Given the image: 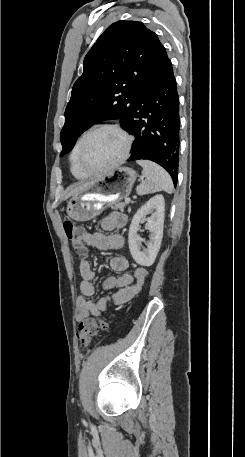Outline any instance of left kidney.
<instances>
[{"label":"left kidney","instance_id":"obj_1","mask_svg":"<svg viewBox=\"0 0 245 457\" xmlns=\"http://www.w3.org/2000/svg\"><path fill=\"white\" fill-rule=\"evenodd\" d=\"M164 208L163 194H155L143 206H140L131 220L128 233L129 249L135 263H138L141 267H151L159 253L163 237ZM146 214H151V216L146 218ZM142 220H147V229L151 231L148 243H145V239H141L137 235ZM141 243H145L147 249H142L141 251Z\"/></svg>","mask_w":245,"mask_h":457}]
</instances>
